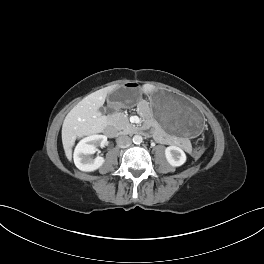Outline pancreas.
Masks as SVG:
<instances>
[{
    "mask_svg": "<svg viewBox=\"0 0 264 264\" xmlns=\"http://www.w3.org/2000/svg\"><path fill=\"white\" fill-rule=\"evenodd\" d=\"M113 125L120 131L128 132L133 126L129 122L128 117L123 112H116L112 115Z\"/></svg>",
    "mask_w": 264,
    "mask_h": 264,
    "instance_id": "obj_1",
    "label": "pancreas"
}]
</instances>
